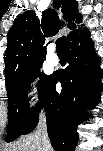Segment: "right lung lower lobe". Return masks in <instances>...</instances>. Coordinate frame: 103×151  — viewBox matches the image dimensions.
Segmentation results:
<instances>
[{"instance_id": "obj_1", "label": "right lung lower lobe", "mask_w": 103, "mask_h": 151, "mask_svg": "<svg viewBox=\"0 0 103 151\" xmlns=\"http://www.w3.org/2000/svg\"><path fill=\"white\" fill-rule=\"evenodd\" d=\"M67 56L69 66L53 74L40 106L45 109L47 131L55 151H74L77 126L88 117L85 111L98 102L102 88L100 58L88 29L67 45ZM57 80L62 86L60 93L55 88ZM39 111L23 135L36 127Z\"/></svg>"}]
</instances>
